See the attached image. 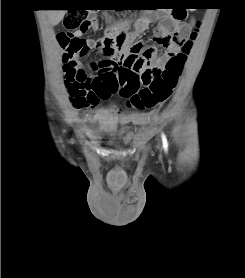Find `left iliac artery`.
Returning <instances> with one entry per match:
<instances>
[{"instance_id":"left-iliac-artery-1","label":"left iliac artery","mask_w":245,"mask_h":278,"mask_svg":"<svg viewBox=\"0 0 245 278\" xmlns=\"http://www.w3.org/2000/svg\"><path fill=\"white\" fill-rule=\"evenodd\" d=\"M162 142H163L164 149L167 150L168 143H167V139L164 134H162Z\"/></svg>"}]
</instances>
